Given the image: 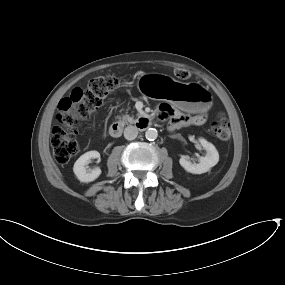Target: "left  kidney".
Listing matches in <instances>:
<instances>
[{
  "instance_id": "5707ae66",
  "label": "left kidney",
  "mask_w": 285,
  "mask_h": 285,
  "mask_svg": "<svg viewBox=\"0 0 285 285\" xmlns=\"http://www.w3.org/2000/svg\"><path fill=\"white\" fill-rule=\"evenodd\" d=\"M200 144L206 150V155L200 157L199 163H192L187 156H182L179 160L180 165L187 171L193 174H202L210 170L219 161V154L215 146L205 140L199 139Z\"/></svg>"
}]
</instances>
